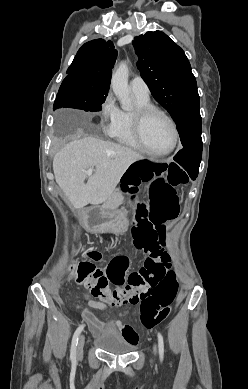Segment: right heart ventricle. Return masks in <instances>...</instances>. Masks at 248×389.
<instances>
[{
  "label": "right heart ventricle",
  "mask_w": 248,
  "mask_h": 389,
  "mask_svg": "<svg viewBox=\"0 0 248 389\" xmlns=\"http://www.w3.org/2000/svg\"><path fill=\"white\" fill-rule=\"evenodd\" d=\"M135 100L137 107L151 105L149 99L135 96ZM132 114L133 112L120 110L119 118L111 137L127 147L143 151L134 136Z\"/></svg>",
  "instance_id": "e07e8e85"
}]
</instances>
